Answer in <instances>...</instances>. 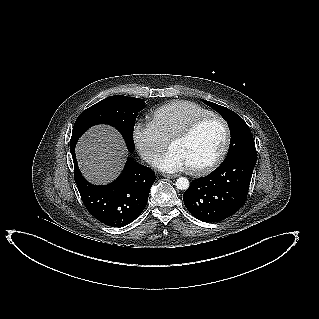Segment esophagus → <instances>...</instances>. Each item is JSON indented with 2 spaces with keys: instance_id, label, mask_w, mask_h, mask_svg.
I'll return each instance as SVG.
<instances>
[{
  "instance_id": "34e87169",
  "label": "esophagus",
  "mask_w": 319,
  "mask_h": 319,
  "mask_svg": "<svg viewBox=\"0 0 319 319\" xmlns=\"http://www.w3.org/2000/svg\"><path fill=\"white\" fill-rule=\"evenodd\" d=\"M163 177H165V178H176L177 175H175V174H163Z\"/></svg>"
}]
</instances>
